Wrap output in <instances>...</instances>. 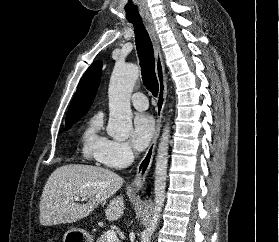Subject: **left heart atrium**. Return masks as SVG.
Instances as JSON below:
<instances>
[{
	"instance_id": "39dd6f15",
	"label": "left heart atrium",
	"mask_w": 279,
	"mask_h": 242,
	"mask_svg": "<svg viewBox=\"0 0 279 242\" xmlns=\"http://www.w3.org/2000/svg\"><path fill=\"white\" fill-rule=\"evenodd\" d=\"M155 132V123L153 118L146 113L138 114L133 121V131L131 135V141L133 147L138 150H144Z\"/></svg>"
}]
</instances>
